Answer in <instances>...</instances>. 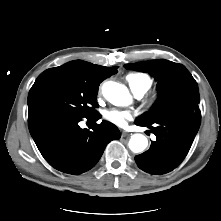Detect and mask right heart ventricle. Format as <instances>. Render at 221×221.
I'll return each mask as SVG.
<instances>
[{
  "instance_id": "obj_1",
  "label": "right heart ventricle",
  "mask_w": 221,
  "mask_h": 221,
  "mask_svg": "<svg viewBox=\"0 0 221 221\" xmlns=\"http://www.w3.org/2000/svg\"><path fill=\"white\" fill-rule=\"evenodd\" d=\"M126 81L134 93H145L152 84V79L145 73H130L126 76Z\"/></svg>"
}]
</instances>
